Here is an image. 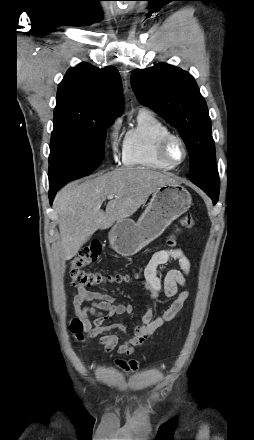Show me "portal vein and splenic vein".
<instances>
[{"label": "portal vein and splenic vein", "mask_w": 254, "mask_h": 440, "mask_svg": "<svg viewBox=\"0 0 254 440\" xmlns=\"http://www.w3.org/2000/svg\"><path fill=\"white\" fill-rule=\"evenodd\" d=\"M107 198H108V199H113V198H118V196L109 195Z\"/></svg>", "instance_id": "portal-vein-and-splenic-vein-1"}]
</instances>
